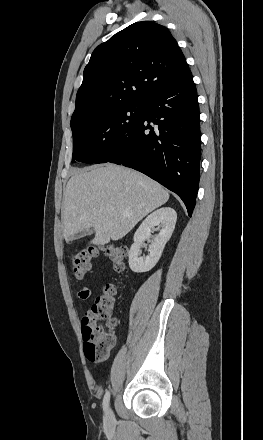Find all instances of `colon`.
Masks as SVG:
<instances>
[{
	"instance_id": "5ec220e1",
	"label": "colon",
	"mask_w": 263,
	"mask_h": 440,
	"mask_svg": "<svg viewBox=\"0 0 263 440\" xmlns=\"http://www.w3.org/2000/svg\"><path fill=\"white\" fill-rule=\"evenodd\" d=\"M101 250L108 256L114 270L124 269L127 257V249L124 246L118 243L103 248L86 245L71 257L72 271L77 279H83L88 274L92 260ZM115 294V286L111 283L106 284L103 295L99 296L83 315V351L85 357L91 361L104 360L113 345V328L116 324Z\"/></svg>"
}]
</instances>
